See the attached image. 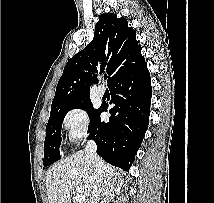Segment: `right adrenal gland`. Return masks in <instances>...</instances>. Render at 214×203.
Wrapping results in <instances>:
<instances>
[{"mask_svg":"<svg viewBox=\"0 0 214 203\" xmlns=\"http://www.w3.org/2000/svg\"><path fill=\"white\" fill-rule=\"evenodd\" d=\"M106 201H107V200H103L101 203H106ZM107 203H109V202L107 201Z\"/></svg>","mask_w":214,"mask_h":203,"instance_id":"right-adrenal-gland-1","label":"right adrenal gland"}]
</instances>
